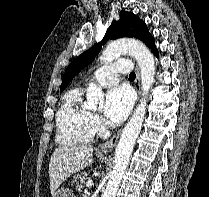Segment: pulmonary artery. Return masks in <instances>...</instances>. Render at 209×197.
<instances>
[{
  "label": "pulmonary artery",
  "mask_w": 209,
  "mask_h": 197,
  "mask_svg": "<svg viewBox=\"0 0 209 197\" xmlns=\"http://www.w3.org/2000/svg\"><path fill=\"white\" fill-rule=\"evenodd\" d=\"M132 65L126 59L106 63L93 72L91 78L104 87L114 86L119 82V74H127Z\"/></svg>",
  "instance_id": "obj_1"
}]
</instances>
